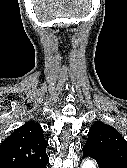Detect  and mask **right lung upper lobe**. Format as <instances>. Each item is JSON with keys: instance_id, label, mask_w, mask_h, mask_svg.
I'll list each match as a JSON object with an SVG mask.
<instances>
[{"instance_id": "1", "label": "right lung upper lobe", "mask_w": 127, "mask_h": 168, "mask_svg": "<svg viewBox=\"0 0 127 168\" xmlns=\"http://www.w3.org/2000/svg\"><path fill=\"white\" fill-rule=\"evenodd\" d=\"M47 141L41 126L33 121L16 129L0 145V165L6 163H40L45 161Z\"/></svg>"}]
</instances>
